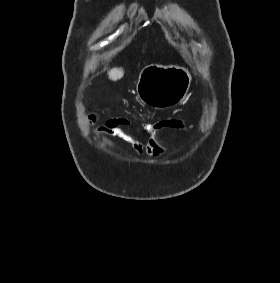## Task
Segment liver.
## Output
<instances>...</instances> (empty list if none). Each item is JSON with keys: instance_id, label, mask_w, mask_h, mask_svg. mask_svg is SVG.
Returning a JSON list of instances; mask_svg holds the SVG:
<instances>
[{"instance_id": "1", "label": "liver", "mask_w": 280, "mask_h": 283, "mask_svg": "<svg viewBox=\"0 0 280 283\" xmlns=\"http://www.w3.org/2000/svg\"><path fill=\"white\" fill-rule=\"evenodd\" d=\"M124 75V70L122 68H113L108 72V76L111 80L117 81L121 79Z\"/></svg>"}]
</instances>
